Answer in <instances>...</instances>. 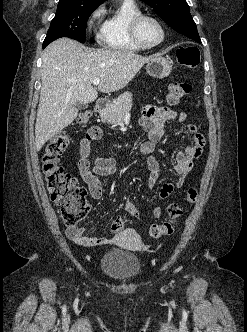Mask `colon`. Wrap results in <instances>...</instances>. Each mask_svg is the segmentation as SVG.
Instances as JSON below:
<instances>
[{"label": "colon", "instance_id": "obj_1", "mask_svg": "<svg viewBox=\"0 0 247 332\" xmlns=\"http://www.w3.org/2000/svg\"><path fill=\"white\" fill-rule=\"evenodd\" d=\"M177 59L180 64L188 68H195L199 64L200 54L195 47H180L177 50ZM192 87L186 82H174L167 89V102L170 105L178 104L183 97L188 95ZM92 117L91 111H84L79 114L77 123L86 125ZM70 142L69 134L60 131L55 134L47 143L42 156V170L45 176L48 192L51 200L59 207L63 221L67 225H76L89 213L90 206L87 201V191L80 185L78 180L65 172L60 165V158ZM198 196V190L190 187L184 200L187 203H194ZM167 220L160 224H152L148 229L151 238H161L174 233L175 226L182 216V208L171 203L167 206ZM125 226L122 218H115L110 226L113 233L120 232Z\"/></svg>", "mask_w": 247, "mask_h": 332}]
</instances>
